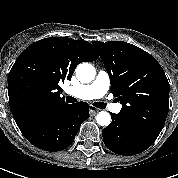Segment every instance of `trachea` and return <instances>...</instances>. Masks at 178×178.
Segmentation results:
<instances>
[{
    "mask_svg": "<svg viewBox=\"0 0 178 178\" xmlns=\"http://www.w3.org/2000/svg\"><path fill=\"white\" fill-rule=\"evenodd\" d=\"M66 101L67 102H77V100L71 96H68L66 98ZM93 105L97 108H100V109H104L105 108V104L104 103H101V102H96V103H93Z\"/></svg>",
    "mask_w": 178,
    "mask_h": 178,
    "instance_id": "3493384b",
    "label": "trachea"
}]
</instances>
